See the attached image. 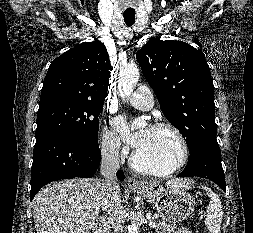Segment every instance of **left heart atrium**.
I'll return each instance as SVG.
<instances>
[{
    "label": "left heart atrium",
    "instance_id": "1",
    "mask_svg": "<svg viewBox=\"0 0 253 233\" xmlns=\"http://www.w3.org/2000/svg\"><path fill=\"white\" fill-rule=\"evenodd\" d=\"M117 125L119 126V129L123 133L126 140L134 147L139 148L141 144L144 142L146 135L148 133L149 129H144L139 133L131 134L128 130L127 124L123 118L117 119Z\"/></svg>",
    "mask_w": 253,
    "mask_h": 233
}]
</instances>
